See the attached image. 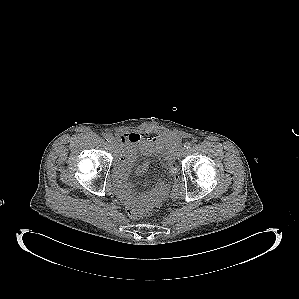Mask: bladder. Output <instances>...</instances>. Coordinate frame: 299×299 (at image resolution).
<instances>
[{"label": "bladder", "instance_id": "obj_1", "mask_svg": "<svg viewBox=\"0 0 299 299\" xmlns=\"http://www.w3.org/2000/svg\"><path fill=\"white\" fill-rule=\"evenodd\" d=\"M172 153L174 154V149L172 150Z\"/></svg>", "mask_w": 299, "mask_h": 299}]
</instances>
